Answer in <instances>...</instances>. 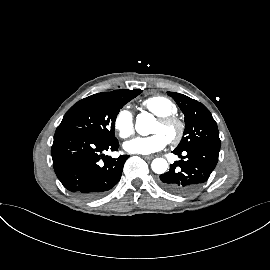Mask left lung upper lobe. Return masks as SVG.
Instances as JSON below:
<instances>
[{
    "label": "left lung upper lobe",
    "mask_w": 270,
    "mask_h": 270,
    "mask_svg": "<svg viewBox=\"0 0 270 270\" xmlns=\"http://www.w3.org/2000/svg\"><path fill=\"white\" fill-rule=\"evenodd\" d=\"M184 113L185 130L176 149L204 146L220 150L217 124L210 111L200 102L183 94L168 92Z\"/></svg>",
    "instance_id": "1"
}]
</instances>
